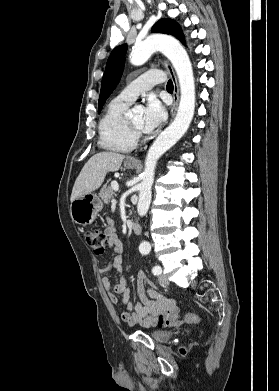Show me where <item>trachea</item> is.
Listing matches in <instances>:
<instances>
[{"label":"trachea","instance_id":"obj_1","mask_svg":"<svg viewBox=\"0 0 279 391\" xmlns=\"http://www.w3.org/2000/svg\"><path fill=\"white\" fill-rule=\"evenodd\" d=\"M166 88H167V90H173V82H172V80H169L167 82Z\"/></svg>","mask_w":279,"mask_h":391}]
</instances>
